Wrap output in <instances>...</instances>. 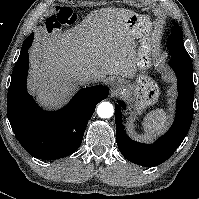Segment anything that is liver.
I'll use <instances>...</instances> for the list:
<instances>
[{"label": "liver", "mask_w": 199, "mask_h": 199, "mask_svg": "<svg viewBox=\"0 0 199 199\" xmlns=\"http://www.w3.org/2000/svg\"><path fill=\"white\" fill-rule=\"evenodd\" d=\"M133 14L121 8L95 10L64 33L41 39L32 53L30 79V89L40 103L64 102L83 84L80 77L85 73L98 81L106 75L134 78L138 37L126 26Z\"/></svg>", "instance_id": "1"}]
</instances>
